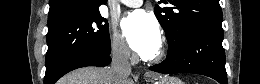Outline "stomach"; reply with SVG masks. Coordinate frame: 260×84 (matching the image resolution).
Returning <instances> with one entry per match:
<instances>
[{
	"mask_svg": "<svg viewBox=\"0 0 260 84\" xmlns=\"http://www.w3.org/2000/svg\"><path fill=\"white\" fill-rule=\"evenodd\" d=\"M154 84H184L180 79L176 77L163 76L158 77Z\"/></svg>",
	"mask_w": 260,
	"mask_h": 84,
	"instance_id": "0dacf381",
	"label": "stomach"
}]
</instances>
